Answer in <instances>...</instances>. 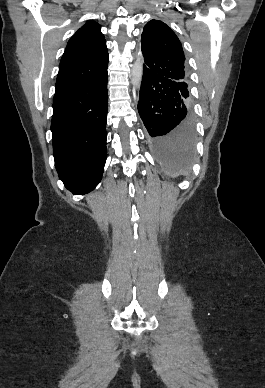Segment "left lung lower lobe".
Instances as JSON below:
<instances>
[{
	"label": "left lung lower lobe",
	"instance_id": "left-lung-lower-lobe-1",
	"mask_svg": "<svg viewBox=\"0 0 265 388\" xmlns=\"http://www.w3.org/2000/svg\"><path fill=\"white\" fill-rule=\"evenodd\" d=\"M183 98L180 83L143 69L138 112L150 146L168 171L188 169L194 155L193 111Z\"/></svg>",
	"mask_w": 265,
	"mask_h": 388
}]
</instances>
